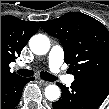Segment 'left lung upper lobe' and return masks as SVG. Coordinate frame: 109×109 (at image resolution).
<instances>
[{
    "instance_id": "5c2ea615",
    "label": "left lung upper lobe",
    "mask_w": 109,
    "mask_h": 109,
    "mask_svg": "<svg viewBox=\"0 0 109 109\" xmlns=\"http://www.w3.org/2000/svg\"><path fill=\"white\" fill-rule=\"evenodd\" d=\"M40 25L62 43L65 62L75 80L109 89V31L102 23L86 14L69 12Z\"/></svg>"
}]
</instances>
